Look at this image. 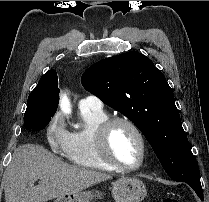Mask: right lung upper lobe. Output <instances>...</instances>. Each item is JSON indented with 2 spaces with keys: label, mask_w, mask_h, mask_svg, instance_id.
Returning a JSON list of instances; mask_svg holds the SVG:
<instances>
[{
  "label": "right lung upper lobe",
  "mask_w": 209,
  "mask_h": 202,
  "mask_svg": "<svg viewBox=\"0 0 209 202\" xmlns=\"http://www.w3.org/2000/svg\"><path fill=\"white\" fill-rule=\"evenodd\" d=\"M42 85H51L53 88L56 89V97H55V105L57 106L58 103V77L55 70L47 71L40 79L38 86Z\"/></svg>",
  "instance_id": "right-lung-upper-lobe-1"
}]
</instances>
